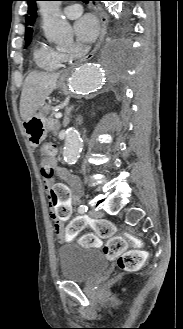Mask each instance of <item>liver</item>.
<instances>
[{"mask_svg": "<svg viewBox=\"0 0 183 329\" xmlns=\"http://www.w3.org/2000/svg\"><path fill=\"white\" fill-rule=\"evenodd\" d=\"M59 74L32 71L24 81L20 98V115L28 120L44 104L57 85Z\"/></svg>", "mask_w": 183, "mask_h": 329, "instance_id": "6515ba94", "label": "liver"}]
</instances>
